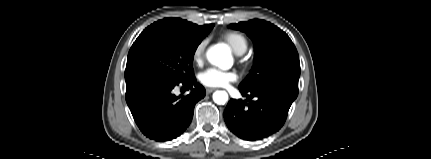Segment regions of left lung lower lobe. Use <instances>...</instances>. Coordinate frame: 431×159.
<instances>
[{
  "instance_id": "0a47b994",
  "label": "left lung lower lobe",
  "mask_w": 431,
  "mask_h": 159,
  "mask_svg": "<svg viewBox=\"0 0 431 159\" xmlns=\"http://www.w3.org/2000/svg\"><path fill=\"white\" fill-rule=\"evenodd\" d=\"M247 100L231 99L224 111L227 127L239 138L260 140L277 132L284 124L298 91L279 84H270L245 91Z\"/></svg>"
}]
</instances>
